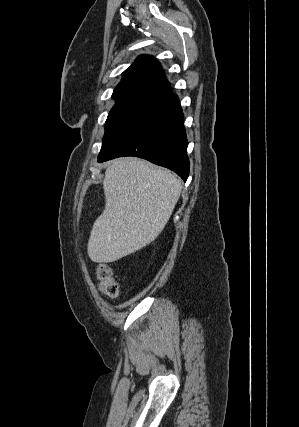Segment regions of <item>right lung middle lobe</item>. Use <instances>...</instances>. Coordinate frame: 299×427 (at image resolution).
Wrapping results in <instances>:
<instances>
[{
	"label": "right lung middle lobe",
	"mask_w": 299,
	"mask_h": 427,
	"mask_svg": "<svg viewBox=\"0 0 299 427\" xmlns=\"http://www.w3.org/2000/svg\"><path fill=\"white\" fill-rule=\"evenodd\" d=\"M153 105L154 102L139 99H116L106 120L100 153L105 152L130 130Z\"/></svg>",
	"instance_id": "dd1d6c3e"
}]
</instances>
